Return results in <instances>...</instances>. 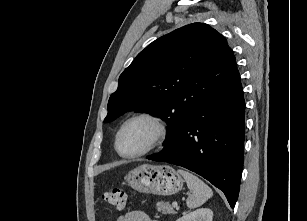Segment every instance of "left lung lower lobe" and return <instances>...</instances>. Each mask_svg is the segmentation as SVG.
Wrapping results in <instances>:
<instances>
[{"label": "left lung lower lobe", "mask_w": 307, "mask_h": 221, "mask_svg": "<svg viewBox=\"0 0 307 221\" xmlns=\"http://www.w3.org/2000/svg\"><path fill=\"white\" fill-rule=\"evenodd\" d=\"M245 101L238 70L197 107L165 147L149 160L187 168L222 190L232 208L244 161Z\"/></svg>", "instance_id": "0a47b994"}]
</instances>
